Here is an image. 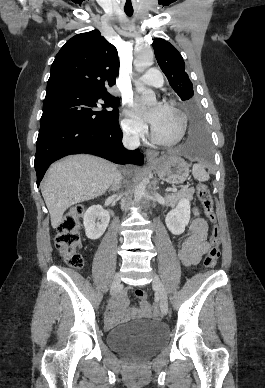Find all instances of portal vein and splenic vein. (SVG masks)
Here are the masks:
<instances>
[{"instance_id":"obj_1","label":"portal vein and splenic vein","mask_w":265,"mask_h":388,"mask_svg":"<svg viewBox=\"0 0 265 388\" xmlns=\"http://www.w3.org/2000/svg\"><path fill=\"white\" fill-rule=\"evenodd\" d=\"M165 192H177L176 188H166Z\"/></svg>"}]
</instances>
